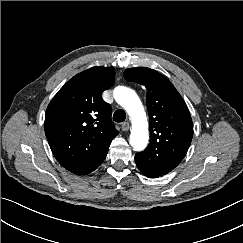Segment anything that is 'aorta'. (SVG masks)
I'll return each instance as SVG.
<instances>
[{
	"label": "aorta",
	"instance_id": "1",
	"mask_svg": "<svg viewBox=\"0 0 243 243\" xmlns=\"http://www.w3.org/2000/svg\"><path fill=\"white\" fill-rule=\"evenodd\" d=\"M113 95L132 120L130 145L135 151L143 150L147 146L149 134L146 113L139 97L134 90L123 86L116 87Z\"/></svg>",
	"mask_w": 243,
	"mask_h": 243
}]
</instances>
